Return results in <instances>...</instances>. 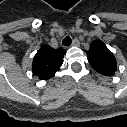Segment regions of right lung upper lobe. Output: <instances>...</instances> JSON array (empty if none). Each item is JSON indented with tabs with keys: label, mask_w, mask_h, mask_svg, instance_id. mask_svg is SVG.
Returning <instances> with one entry per match:
<instances>
[{
	"label": "right lung upper lobe",
	"mask_w": 127,
	"mask_h": 127,
	"mask_svg": "<svg viewBox=\"0 0 127 127\" xmlns=\"http://www.w3.org/2000/svg\"><path fill=\"white\" fill-rule=\"evenodd\" d=\"M66 51L63 48L54 49L43 45L34 56L32 71L41 80H47L54 76L63 63Z\"/></svg>",
	"instance_id": "cb5924a9"
}]
</instances>
